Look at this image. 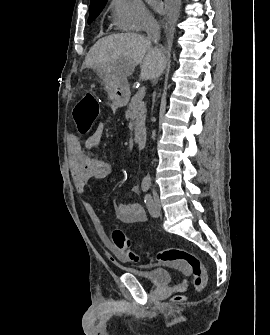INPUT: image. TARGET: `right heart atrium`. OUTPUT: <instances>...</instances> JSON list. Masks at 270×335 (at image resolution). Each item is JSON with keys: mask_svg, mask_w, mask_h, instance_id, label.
<instances>
[{"mask_svg": "<svg viewBox=\"0 0 270 335\" xmlns=\"http://www.w3.org/2000/svg\"><path fill=\"white\" fill-rule=\"evenodd\" d=\"M114 20L125 31H140V25H158L155 17L140 0H112Z\"/></svg>", "mask_w": 270, "mask_h": 335, "instance_id": "1", "label": "right heart atrium"}]
</instances>
